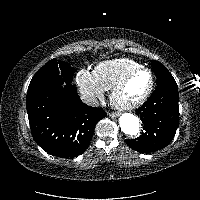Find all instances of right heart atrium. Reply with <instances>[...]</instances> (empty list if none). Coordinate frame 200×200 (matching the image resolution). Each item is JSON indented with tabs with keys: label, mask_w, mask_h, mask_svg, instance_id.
<instances>
[{
	"label": "right heart atrium",
	"mask_w": 200,
	"mask_h": 200,
	"mask_svg": "<svg viewBox=\"0 0 200 200\" xmlns=\"http://www.w3.org/2000/svg\"><path fill=\"white\" fill-rule=\"evenodd\" d=\"M75 81L87 103L94 105L104 97L106 90L99 84L92 70L80 69Z\"/></svg>",
	"instance_id": "d8ad5b80"
}]
</instances>
